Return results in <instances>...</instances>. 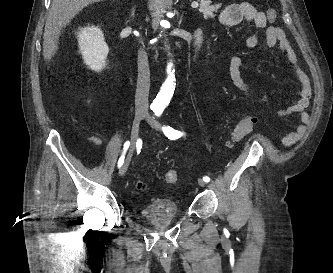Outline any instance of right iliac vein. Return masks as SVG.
<instances>
[{"instance_id": "63e3f726", "label": "right iliac vein", "mask_w": 333, "mask_h": 273, "mask_svg": "<svg viewBox=\"0 0 333 273\" xmlns=\"http://www.w3.org/2000/svg\"><path fill=\"white\" fill-rule=\"evenodd\" d=\"M144 116L145 115L143 113H138L135 116V119H134L133 124H132V129H131V148H130V151H129V154H128V157H127L126 161L124 162V164L121 166V168L119 170V176H123L126 173L127 169H128L129 162H130L135 144H136L137 139H138L140 123H141L142 119L144 118Z\"/></svg>"}]
</instances>
